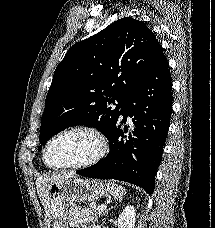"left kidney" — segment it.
Listing matches in <instances>:
<instances>
[{
	"label": "left kidney",
	"mask_w": 215,
	"mask_h": 228,
	"mask_svg": "<svg viewBox=\"0 0 215 228\" xmlns=\"http://www.w3.org/2000/svg\"><path fill=\"white\" fill-rule=\"evenodd\" d=\"M136 210L134 206H126L118 218V228H135Z\"/></svg>",
	"instance_id": "obj_1"
}]
</instances>
